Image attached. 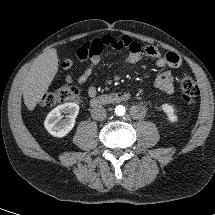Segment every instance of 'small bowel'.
Segmentation results:
<instances>
[{"mask_svg": "<svg viewBox=\"0 0 215 215\" xmlns=\"http://www.w3.org/2000/svg\"><path fill=\"white\" fill-rule=\"evenodd\" d=\"M105 48L127 50V62L131 64L138 63L142 58H148L153 60L155 66L158 68L168 67L157 75L154 84L156 88L166 95H172L174 93V76L169 68H178L181 65V58L174 52L161 55L160 51L154 46L142 47L138 42L127 35H122L120 37L104 35L84 43L77 50L76 54L81 62L89 60V65L77 77L68 74L66 76L67 82L76 80L79 85L85 84L92 76L96 66L100 63L101 55ZM96 94V87L93 85L88 86L87 95L92 98Z\"/></svg>", "mask_w": 215, "mask_h": 215, "instance_id": "1", "label": "small bowel"}]
</instances>
